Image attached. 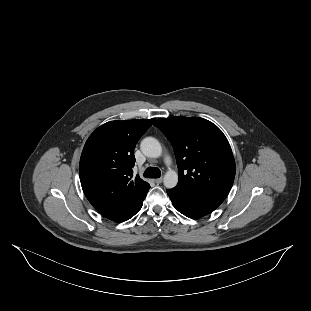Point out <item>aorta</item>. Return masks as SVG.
I'll use <instances>...</instances> for the list:
<instances>
[{
  "instance_id": "1",
  "label": "aorta",
  "mask_w": 311,
  "mask_h": 311,
  "mask_svg": "<svg viewBox=\"0 0 311 311\" xmlns=\"http://www.w3.org/2000/svg\"><path fill=\"white\" fill-rule=\"evenodd\" d=\"M140 148L142 153L148 158L159 159L163 155V150L160 142L153 137H147L143 139ZM177 183V171L174 169L167 170L164 175V185L167 188H173L177 185Z\"/></svg>"
}]
</instances>
